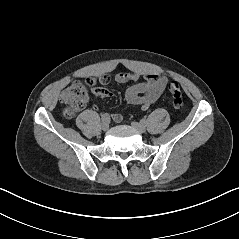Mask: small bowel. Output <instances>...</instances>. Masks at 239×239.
I'll return each mask as SVG.
<instances>
[{
	"label": "small bowel",
	"mask_w": 239,
	"mask_h": 239,
	"mask_svg": "<svg viewBox=\"0 0 239 239\" xmlns=\"http://www.w3.org/2000/svg\"><path fill=\"white\" fill-rule=\"evenodd\" d=\"M90 78H93L96 83L99 81L103 86L107 85L111 80L109 75H102L98 79ZM139 79L140 74L138 73L120 72L114 76V80L117 83L136 82L125 90V100L129 104L140 106L141 110L145 111L158 101L167 86L168 79L166 76L159 74H148L141 82H138ZM93 94L99 98H111L113 96V93L104 87L94 88ZM113 118L117 122L122 120L120 114H115Z\"/></svg>",
	"instance_id": "obj_1"
}]
</instances>
